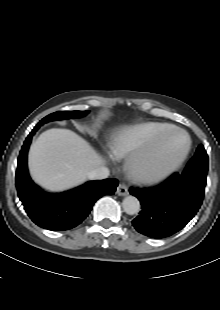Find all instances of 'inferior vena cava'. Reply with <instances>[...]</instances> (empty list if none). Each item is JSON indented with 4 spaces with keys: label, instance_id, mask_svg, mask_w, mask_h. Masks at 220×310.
I'll return each mask as SVG.
<instances>
[{
    "label": "inferior vena cava",
    "instance_id": "obj_1",
    "mask_svg": "<svg viewBox=\"0 0 220 310\" xmlns=\"http://www.w3.org/2000/svg\"><path fill=\"white\" fill-rule=\"evenodd\" d=\"M109 176V169L105 166H99L88 172L87 177L91 180L105 179Z\"/></svg>",
    "mask_w": 220,
    "mask_h": 310
}]
</instances>
